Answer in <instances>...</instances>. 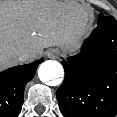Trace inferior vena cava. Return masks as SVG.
Masks as SVG:
<instances>
[{"label":"inferior vena cava","mask_w":117,"mask_h":117,"mask_svg":"<svg viewBox=\"0 0 117 117\" xmlns=\"http://www.w3.org/2000/svg\"><path fill=\"white\" fill-rule=\"evenodd\" d=\"M30 54H32V51L28 50V51H25L21 54L22 57H27L29 56Z\"/></svg>","instance_id":"inferior-vena-cava-1"}]
</instances>
